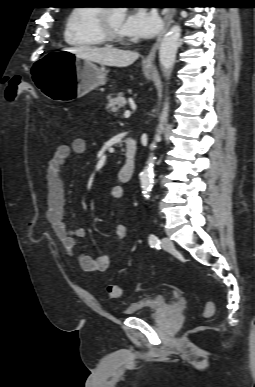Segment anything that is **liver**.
<instances>
[{
	"label": "liver",
	"instance_id": "6515ba94",
	"mask_svg": "<svg viewBox=\"0 0 255 387\" xmlns=\"http://www.w3.org/2000/svg\"><path fill=\"white\" fill-rule=\"evenodd\" d=\"M65 50L74 53L83 60L111 67H128L139 58V54L135 51L108 47L98 48L82 46Z\"/></svg>",
	"mask_w": 255,
	"mask_h": 387
}]
</instances>
